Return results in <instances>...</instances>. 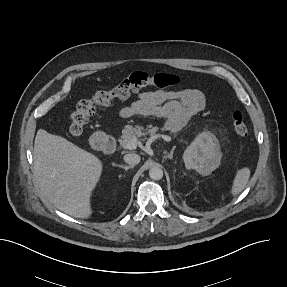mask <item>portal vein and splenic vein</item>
I'll use <instances>...</instances> for the list:
<instances>
[{"mask_svg":"<svg viewBox=\"0 0 287 287\" xmlns=\"http://www.w3.org/2000/svg\"><path fill=\"white\" fill-rule=\"evenodd\" d=\"M160 137L167 142H171V137H169L168 135L162 134L160 135ZM137 143H138L137 138H133L130 141H128V143L125 145L124 148L129 149V150H134L137 148Z\"/></svg>","mask_w":287,"mask_h":287,"instance_id":"1","label":"portal vein and splenic vein"}]
</instances>
